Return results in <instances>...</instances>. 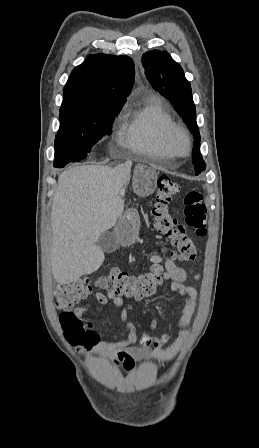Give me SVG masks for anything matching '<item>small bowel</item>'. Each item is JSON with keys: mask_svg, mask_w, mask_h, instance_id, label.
Returning a JSON list of instances; mask_svg holds the SVG:
<instances>
[{"mask_svg": "<svg viewBox=\"0 0 259 448\" xmlns=\"http://www.w3.org/2000/svg\"><path fill=\"white\" fill-rule=\"evenodd\" d=\"M153 254V256H156L155 253ZM191 273H193L191 269L182 268L176 265L173 259L166 258L162 277L171 281V291L179 293L184 298V307L179 320V326L182 329L178 332L177 338L170 346L164 347L169 340V335L166 333L160 337L149 335L141 337V339L150 337L154 346L153 349L149 348V346H136L140 337L135 326L128 322V308L124 307L121 312L120 322L122 328L127 331L126 337L118 341H103L97 332L89 331L87 338L79 345L80 353L84 356L97 355L101 358L111 359L114 364H121L128 371L134 368L135 362L138 360L154 359L159 362H166L173 359L188 336V332L184 328L190 324L195 313L196 290L185 284L188 275ZM195 277L197 278V276ZM95 299L101 305L111 302L117 308L124 306V301L120 296L108 291L105 293L97 292ZM86 310L85 307H77L74 313L80 317ZM156 326L157 322L155 320L151 321L150 328L154 329Z\"/></svg>", "mask_w": 259, "mask_h": 448, "instance_id": "1", "label": "small bowel"}]
</instances>
